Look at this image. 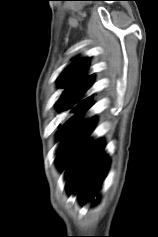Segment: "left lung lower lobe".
Listing matches in <instances>:
<instances>
[{
    "label": "left lung lower lobe",
    "instance_id": "0a47b994",
    "mask_svg": "<svg viewBox=\"0 0 158 237\" xmlns=\"http://www.w3.org/2000/svg\"><path fill=\"white\" fill-rule=\"evenodd\" d=\"M84 107L71 117L62 127L65 132L76 124L69 137L63 142L57 156L61 167L67 166V187L70 192H77L79 198L86 202L93 199L105 177L108 160L103 153V142L87 141L93 128L91 119L79 123L87 111Z\"/></svg>",
    "mask_w": 158,
    "mask_h": 237
}]
</instances>
